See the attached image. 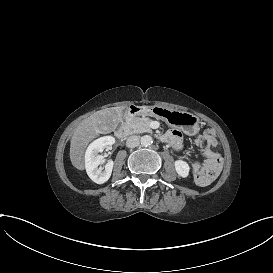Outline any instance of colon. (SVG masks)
Wrapping results in <instances>:
<instances>
[{"mask_svg": "<svg viewBox=\"0 0 273 273\" xmlns=\"http://www.w3.org/2000/svg\"><path fill=\"white\" fill-rule=\"evenodd\" d=\"M221 164L222 160L219 155L214 154L208 158L207 163L204 168H202V173L205 176V180L202 183L203 185H206L207 181L216 177Z\"/></svg>", "mask_w": 273, "mask_h": 273, "instance_id": "5ec220e1", "label": "colon"}]
</instances>
